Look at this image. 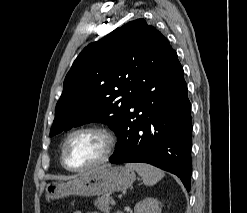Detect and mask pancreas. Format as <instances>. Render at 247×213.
<instances>
[{"mask_svg":"<svg viewBox=\"0 0 247 213\" xmlns=\"http://www.w3.org/2000/svg\"><path fill=\"white\" fill-rule=\"evenodd\" d=\"M111 200L112 197L110 196V194H104L94 201V205L103 213H109V211L111 210Z\"/></svg>","mask_w":247,"mask_h":213,"instance_id":"pancreas-1","label":"pancreas"}]
</instances>
